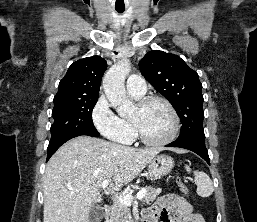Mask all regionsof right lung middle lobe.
Listing matches in <instances>:
<instances>
[{
  "instance_id": "dd1d6c3e",
  "label": "right lung middle lobe",
  "mask_w": 257,
  "mask_h": 222,
  "mask_svg": "<svg viewBox=\"0 0 257 222\" xmlns=\"http://www.w3.org/2000/svg\"><path fill=\"white\" fill-rule=\"evenodd\" d=\"M97 100L98 96H88L54 102L50 143L72 135L98 137L99 133L92 121V110Z\"/></svg>"
}]
</instances>
